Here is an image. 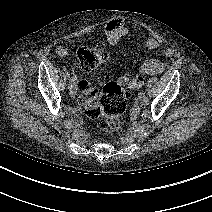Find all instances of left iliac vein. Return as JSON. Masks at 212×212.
Masks as SVG:
<instances>
[{"instance_id":"1","label":"left iliac vein","mask_w":212,"mask_h":212,"mask_svg":"<svg viewBox=\"0 0 212 212\" xmlns=\"http://www.w3.org/2000/svg\"><path fill=\"white\" fill-rule=\"evenodd\" d=\"M143 98H144V95H143L142 93H140V94L138 95V100L141 101V104L144 105Z\"/></svg>"}]
</instances>
